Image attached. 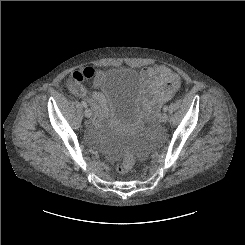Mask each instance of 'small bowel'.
<instances>
[{
  "instance_id": "small-bowel-1",
  "label": "small bowel",
  "mask_w": 245,
  "mask_h": 245,
  "mask_svg": "<svg viewBox=\"0 0 245 245\" xmlns=\"http://www.w3.org/2000/svg\"><path fill=\"white\" fill-rule=\"evenodd\" d=\"M105 77V72L100 70L96 72L91 67L74 71L68 81V88L72 94L85 98L88 103L97 108L103 97L98 92H90L83 85L84 81L94 79V85L97 87ZM142 82V90L149 103L162 105L169 101L172 96L179 90L181 81L179 76L170 68L162 65L144 67L138 74ZM108 118V112L97 113L96 122Z\"/></svg>"
}]
</instances>
